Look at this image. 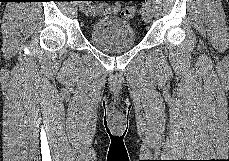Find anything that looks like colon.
Instances as JSON below:
<instances>
[{
	"label": "colon",
	"mask_w": 229,
	"mask_h": 161,
	"mask_svg": "<svg viewBox=\"0 0 229 161\" xmlns=\"http://www.w3.org/2000/svg\"><path fill=\"white\" fill-rule=\"evenodd\" d=\"M122 17L131 19L136 15V8L134 6H125L121 11Z\"/></svg>",
	"instance_id": "1"
}]
</instances>
